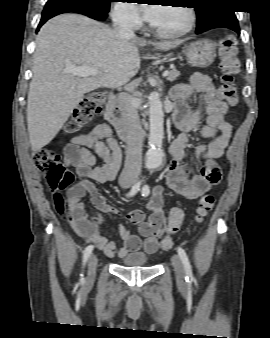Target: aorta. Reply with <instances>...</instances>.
<instances>
[{"label": "aorta", "instance_id": "aorta-1", "mask_svg": "<svg viewBox=\"0 0 270 338\" xmlns=\"http://www.w3.org/2000/svg\"><path fill=\"white\" fill-rule=\"evenodd\" d=\"M149 150L147 152V166L149 169H158L163 164L164 152L162 149L164 138V112L161 99L157 93L149 97Z\"/></svg>", "mask_w": 270, "mask_h": 338}]
</instances>
